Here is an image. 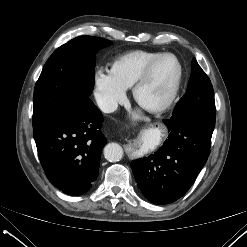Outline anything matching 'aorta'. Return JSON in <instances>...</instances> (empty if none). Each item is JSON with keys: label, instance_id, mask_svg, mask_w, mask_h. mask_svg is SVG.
Segmentation results:
<instances>
[{"label": "aorta", "instance_id": "1", "mask_svg": "<svg viewBox=\"0 0 247 247\" xmlns=\"http://www.w3.org/2000/svg\"><path fill=\"white\" fill-rule=\"evenodd\" d=\"M104 156L110 162L120 161L123 157V149L117 143H109L104 147Z\"/></svg>", "mask_w": 247, "mask_h": 247}]
</instances>
